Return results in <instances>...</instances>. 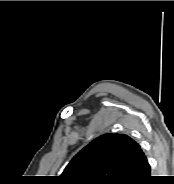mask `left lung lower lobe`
Wrapping results in <instances>:
<instances>
[{"label": "left lung lower lobe", "instance_id": "1", "mask_svg": "<svg viewBox=\"0 0 174 184\" xmlns=\"http://www.w3.org/2000/svg\"><path fill=\"white\" fill-rule=\"evenodd\" d=\"M150 180V166L144 153L140 150L133 165L131 178L126 184H148Z\"/></svg>", "mask_w": 174, "mask_h": 184}]
</instances>
